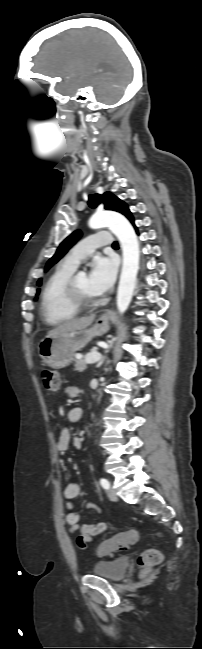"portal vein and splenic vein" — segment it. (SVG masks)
Masks as SVG:
<instances>
[{
    "label": "portal vein and splenic vein",
    "mask_w": 202,
    "mask_h": 649,
    "mask_svg": "<svg viewBox=\"0 0 202 649\" xmlns=\"http://www.w3.org/2000/svg\"><path fill=\"white\" fill-rule=\"evenodd\" d=\"M100 359H101L100 355H98L96 352H92L91 354L86 356L85 361L87 364H95L99 362Z\"/></svg>",
    "instance_id": "portal-vein-and-splenic-vein-1"
}]
</instances>
